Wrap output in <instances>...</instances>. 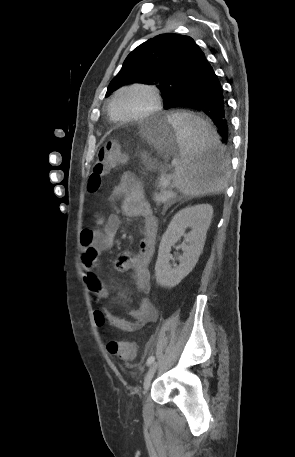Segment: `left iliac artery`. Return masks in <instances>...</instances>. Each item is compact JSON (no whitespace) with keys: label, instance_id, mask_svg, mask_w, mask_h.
<instances>
[{"label":"left iliac artery","instance_id":"1","mask_svg":"<svg viewBox=\"0 0 295 457\" xmlns=\"http://www.w3.org/2000/svg\"><path fill=\"white\" fill-rule=\"evenodd\" d=\"M154 360H155V357L154 356H150L147 359V362H146L147 366L151 365L154 362Z\"/></svg>","mask_w":295,"mask_h":457}]
</instances>
